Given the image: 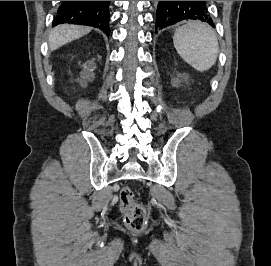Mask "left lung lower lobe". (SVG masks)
I'll list each match as a JSON object with an SVG mask.
<instances>
[{"label":"left lung lower lobe","mask_w":271,"mask_h":266,"mask_svg":"<svg viewBox=\"0 0 271 266\" xmlns=\"http://www.w3.org/2000/svg\"><path fill=\"white\" fill-rule=\"evenodd\" d=\"M182 20H198L214 27L206 1H159L156 30H162Z\"/></svg>","instance_id":"left-lung-lower-lobe-1"}]
</instances>
